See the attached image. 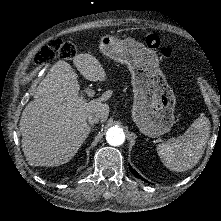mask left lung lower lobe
Returning <instances> with one entry per match:
<instances>
[{
	"instance_id": "left-lung-lower-lobe-1",
	"label": "left lung lower lobe",
	"mask_w": 221,
	"mask_h": 221,
	"mask_svg": "<svg viewBox=\"0 0 221 221\" xmlns=\"http://www.w3.org/2000/svg\"><path fill=\"white\" fill-rule=\"evenodd\" d=\"M129 169L130 171L133 173V175L137 178H140L141 180H144L146 182H148L147 180H145L144 178H142L130 165H129Z\"/></svg>"
}]
</instances>
